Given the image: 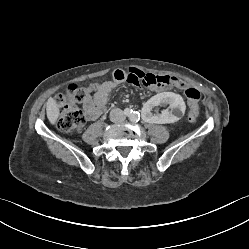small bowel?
Instances as JSON below:
<instances>
[{"label": "small bowel", "mask_w": 249, "mask_h": 249, "mask_svg": "<svg viewBox=\"0 0 249 249\" xmlns=\"http://www.w3.org/2000/svg\"><path fill=\"white\" fill-rule=\"evenodd\" d=\"M164 77V76H162ZM144 81V72L136 68H128L127 72L117 69L112 74V80L105 81L97 86L89 84L86 88L91 90L83 101V110L87 120H96L105 113V106L108 102L110 93L119 84L128 82L136 86L141 96L145 95V90L141 87ZM173 84V83H171ZM169 85V84H167ZM176 85V84H175ZM165 86V85H164ZM179 87L178 85H176Z\"/></svg>", "instance_id": "1"}]
</instances>
